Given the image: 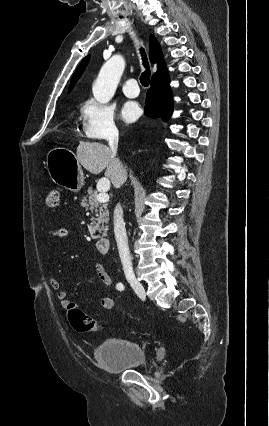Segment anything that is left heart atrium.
<instances>
[{"instance_id": "1", "label": "left heart atrium", "mask_w": 269, "mask_h": 426, "mask_svg": "<svg viewBox=\"0 0 269 426\" xmlns=\"http://www.w3.org/2000/svg\"><path fill=\"white\" fill-rule=\"evenodd\" d=\"M141 114V108L137 102L127 101L124 103L121 109V117L127 122L135 121Z\"/></svg>"}]
</instances>
